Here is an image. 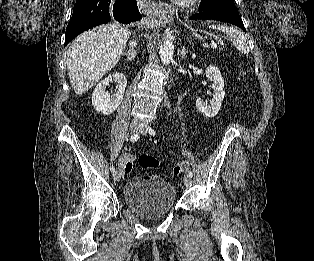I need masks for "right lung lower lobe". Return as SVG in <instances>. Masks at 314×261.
<instances>
[{"label": "right lung lower lobe", "mask_w": 314, "mask_h": 261, "mask_svg": "<svg viewBox=\"0 0 314 261\" xmlns=\"http://www.w3.org/2000/svg\"><path fill=\"white\" fill-rule=\"evenodd\" d=\"M136 0H77L68 23L65 46L80 33L115 19L130 23L141 19Z\"/></svg>", "instance_id": "obj_1"}]
</instances>
